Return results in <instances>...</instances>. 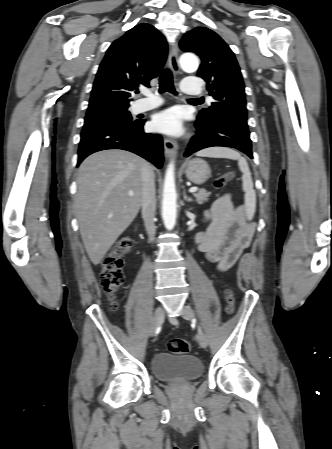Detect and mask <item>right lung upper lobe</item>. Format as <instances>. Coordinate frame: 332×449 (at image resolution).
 Returning <instances> with one entry per match:
<instances>
[{"mask_svg": "<svg viewBox=\"0 0 332 449\" xmlns=\"http://www.w3.org/2000/svg\"><path fill=\"white\" fill-rule=\"evenodd\" d=\"M166 59V40L152 25L141 23L127 31L100 64L87 113L129 107L131 95L139 85L149 87Z\"/></svg>", "mask_w": 332, "mask_h": 449, "instance_id": "1", "label": "right lung upper lobe"}]
</instances>
